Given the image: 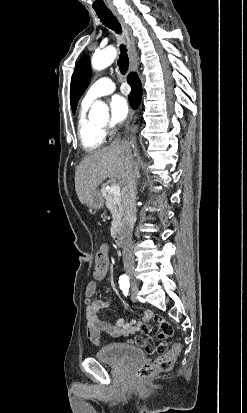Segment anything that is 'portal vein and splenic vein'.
Wrapping results in <instances>:
<instances>
[{"label":"portal vein and splenic vein","mask_w":247,"mask_h":413,"mask_svg":"<svg viewBox=\"0 0 247 413\" xmlns=\"http://www.w3.org/2000/svg\"><path fill=\"white\" fill-rule=\"evenodd\" d=\"M109 190H110V192H112V194H120L119 184H111Z\"/></svg>","instance_id":"portal-vein-and-splenic-vein-1"}]
</instances>
